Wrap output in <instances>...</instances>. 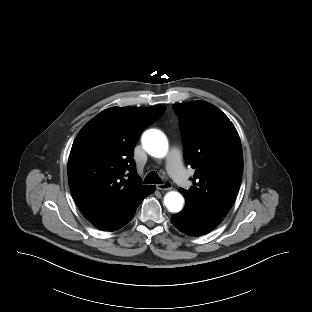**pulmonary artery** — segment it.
Instances as JSON below:
<instances>
[{"label": "pulmonary artery", "instance_id": "pulmonary-artery-1", "mask_svg": "<svg viewBox=\"0 0 312 312\" xmlns=\"http://www.w3.org/2000/svg\"><path fill=\"white\" fill-rule=\"evenodd\" d=\"M166 166L173 180L180 186L186 187L189 179L183 167L181 155L178 150L173 149L168 155Z\"/></svg>", "mask_w": 312, "mask_h": 312}]
</instances>
